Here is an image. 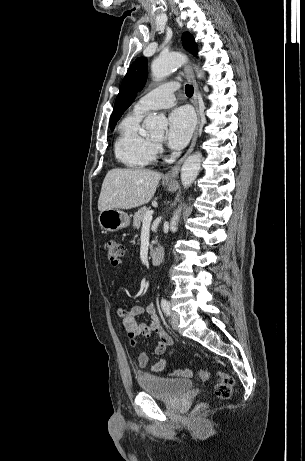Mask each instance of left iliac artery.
I'll list each match as a JSON object with an SVG mask.
<instances>
[{"label": "left iliac artery", "instance_id": "left-iliac-artery-1", "mask_svg": "<svg viewBox=\"0 0 305 461\" xmlns=\"http://www.w3.org/2000/svg\"><path fill=\"white\" fill-rule=\"evenodd\" d=\"M161 307H162L163 312H164L167 316H169V315H170V304H169V302H168L166 299H164V298L161 300Z\"/></svg>", "mask_w": 305, "mask_h": 461}]
</instances>
